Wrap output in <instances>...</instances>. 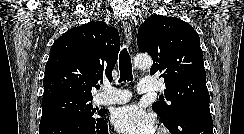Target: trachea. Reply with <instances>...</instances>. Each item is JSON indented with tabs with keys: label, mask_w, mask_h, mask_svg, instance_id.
<instances>
[{
	"label": "trachea",
	"mask_w": 244,
	"mask_h": 134,
	"mask_svg": "<svg viewBox=\"0 0 244 134\" xmlns=\"http://www.w3.org/2000/svg\"><path fill=\"white\" fill-rule=\"evenodd\" d=\"M119 82L132 81V64L131 58L126 48H123L119 55Z\"/></svg>",
	"instance_id": "3493384b"
}]
</instances>
